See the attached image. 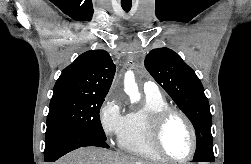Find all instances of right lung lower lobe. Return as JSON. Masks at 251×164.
<instances>
[{"label": "right lung lower lobe", "mask_w": 251, "mask_h": 164, "mask_svg": "<svg viewBox=\"0 0 251 164\" xmlns=\"http://www.w3.org/2000/svg\"><path fill=\"white\" fill-rule=\"evenodd\" d=\"M45 162H55L57 159L80 147L97 146L109 148L106 141L88 134L60 133L45 140Z\"/></svg>", "instance_id": "right-lung-lower-lobe-1"}]
</instances>
